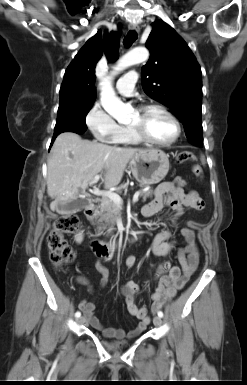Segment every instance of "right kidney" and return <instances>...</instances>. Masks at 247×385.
Wrapping results in <instances>:
<instances>
[{
    "mask_svg": "<svg viewBox=\"0 0 247 385\" xmlns=\"http://www.w3.org/2000/svg\"><path fill=\"white\" fill-rule=\"evenodd\" d=\"M75 239H76V241H77L78 243H81V241H82V239H83L82 234L76 235Z\"/></svg>",
    "mask_w": 247,
    "mask_h": 385,
    "instance_id": "ca27d5eb",
    "label": "right kidney"
}]
</instances>
